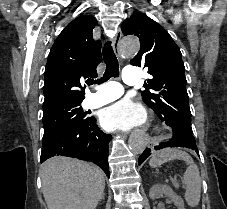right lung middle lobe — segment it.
Returning <instances> with one entry per match:
<instances>
[{"mask_svg": "<svg viewBox=\"0 0 227 209\" xmlns=\"http://www.w3.org/2000/svg\"><path fill=\"white\" fill-rule=\"evenodd\" d=\"M79 101H56L43 105V138L73 125L83 123L86 113L80 107Z\"/></svg>", "mask_w": 227, "mask_h": 209, "instance_id": "right-lung-middle-lobe-1", "label": "right lung middle lobe"}]
</instances>
